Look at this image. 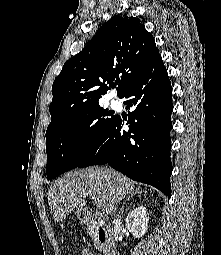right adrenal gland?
Returning <instances> with one entry per match:
<instances>
[{"mask_svg": "<svg viewBox=\"0 0 221 255\" xmlns=\"http://www.w3.org/2000/svg\"><path fill=\"white\" fill-rule=\"evenodd\" d=\"M136 194H142V191L136 189L133 193L130 194V196H128V197L125 199V201L123 202V205H122V207H121V209H120V212H119L120 216L123 215L124 207H125L126 202L129 201V200H132L133 197H134Z\"/></svg>", "mask_w": 221, "mask_h": 255, "instance_id": "1", "label": "right adrenal gland"}]
</instances>
